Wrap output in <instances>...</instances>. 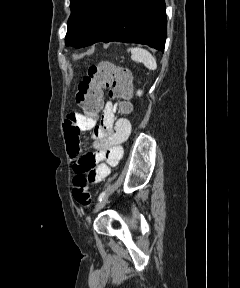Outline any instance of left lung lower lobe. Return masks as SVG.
<instances>
[{
  "mask_svg": "<svg viewBox=\"0 0 240 288\" xmlns=\"http://www.w3.org/2000/svg\"><path fill=\"white\" fill-rule=\"evenodd\" d=\"M166 25L164 0H108L101 20L83 46L117 41L163 51Z\"/></svg>",
  "mask_w": 240,
  "mask_h": 288,
  "instance_id": "0a47b994",
  "label": "left lung lower lobe"
}]
</instances>
